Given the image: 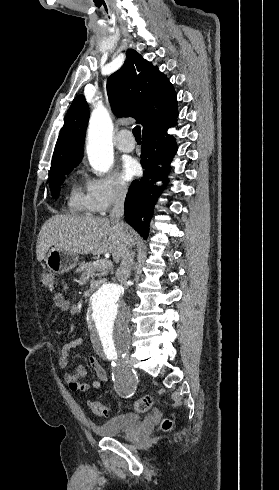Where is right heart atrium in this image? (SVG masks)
I'll return each mask as SVG.
<instances>
[{
  "label": "right heart atrium",
  "instance_id": "d8ad5b80",
  "mask_svg": "<svg viewBox=\"0 0 279 490\" xmlns=\"http://www.w3.org/2000/svg\"><path fill=\"white\" fill-rule=\"evenodd\" d=\"M84 193L87 211L95 216H103L112 205L125 197L127 187L114 174L105 176L86 175Z\"/></svg>",
  "mask_w": 279,
  "mask_h": 490
}]
</instances>
